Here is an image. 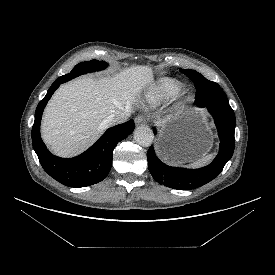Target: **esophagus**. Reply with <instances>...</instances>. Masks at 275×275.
I'll use <instances>...</instances> for the list:
<instances>
[{
  "instance_id": "obj_1",
  "label": "esophagus",
  "mask_w": 275,
  "mask_h": 275,
  "mask_svg": "<svg viewBox=\"0 0 275 275\" xmlns=\"http://www.w3.org/2000/svg\"><path fill=\"white\" fill-rule=\"evenodd\" d=\"M147 117L144 116V115H139L135 118V123L137 125H142V124H145L147 122Z\"/></svg>"
}]
</instances>
